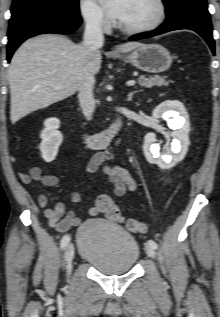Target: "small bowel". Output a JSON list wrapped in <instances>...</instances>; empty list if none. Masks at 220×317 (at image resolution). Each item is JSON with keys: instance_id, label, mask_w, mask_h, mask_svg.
Returning a JSON list of instances; mask_svg holds the SVG:
<instances>
[{"instance_id": "1", "label": "small bowel", "mask_w": 220, "mask_h": 317, "mask_svg": "<svg viewBox=\"0 0 220 317\" xmlns=\"http://www.w3.org/2000/svg\"><path fill=\"white\" fill-rule=\"evenodd\" d=\"M105 161V155L100 154L92 158L86 166V174L95 172ZM105 172L107 174L106 183L112 186L113 194L115 196H123L126 191H134L137 188L135 179L123 168L119 166H106ZM85 175L80 176L76 186L84 179ZM20 180L24 184L31 182H39L45 186H55L59 183V177L52 174H44L38 167H33L29 174L21 173ZM82 194L78 191L73 192L69 200L72 203L80 202ZM110 198L106 194L99 195L95 204L88 209V214L97 216L104 213L103 201ZM38 202L41 207H46L47 197L44 194L38 195ZM44 214L49 221L51 227L59 232H65L72 227L81 223V219L73 212L66 211L63 204L59 203L53 208H45Z\"/></svg>"}]
</instances>
